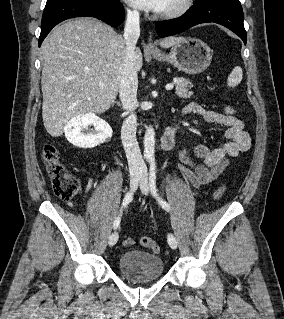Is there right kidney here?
<instances>
[{"mask_svg":"<svg viewBox=\"0 0 284 319\" xmlns=\"http://www.w3.org/2000/svg\"><path fill=\"white\" fill-rule=\"evenodd\" d=\"M93 126L90 130L88 127ZM67 140L79 148H93L112 137L110 125L95 113L79 114L71 118L65 126Z\"/></svg>","mask_w":284,"mask_h":319,"instance_id":"1","label":"right kidney"}]
</instances>
